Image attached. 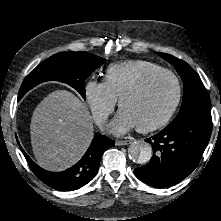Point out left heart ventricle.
I'll use <instances>...</instances> for the list:
<instances>
[{"label": "left heart ventricle", "mask_w": 221, "mask_h": 221, "mask_svg": "<svg viewBox=\"0 0 221 221\" xmlns=\"http://www.w3.org/2000/svg\"><path fill=\"white\" fill-rule=\"evenodd\" d=\"M176 94L174 81L168 76L152 80L140 93L126 98L121 105L136 127L158 122L169 111Z\"/></svg>", "instance_id": "left-heart-ventricle-1"}]
</instances>
